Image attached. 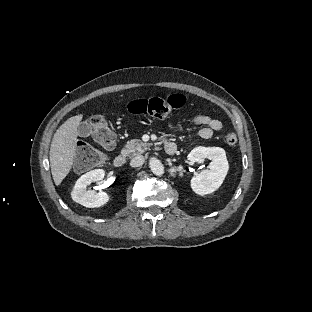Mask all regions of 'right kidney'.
I'll use <instances>...</instances> for the list:
<instances>
[{"instance_id":"1","label":"right kidney","mask_w":312,"mask_h":312,"mask_svg":"<svg viewBox=\"0 0 312 312\" xmlns=\"http://www.w3.org/2000/svg\"><path fill=\"white\" fill-rule=\"evenodd\" d=\"M103 177L104 171L102 169L93 170L82 175L72 189L71 197L73 201L87 208H99L106 205L110 201L107 192L97 193L94 190H86L89 184L95 183Z\"/></svg>"}]
</instances>
